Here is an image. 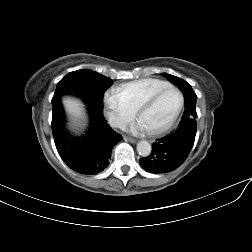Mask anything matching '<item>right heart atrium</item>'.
I'll return each instance as SVG.
<instances>
[{"mask_svg": "<svg viewBox=\"0 0 252 252\" xmlns=\"http://www.w3.org/2000/svg\"><path fill=\"white\" fill-rule=\"evenodd\" d=\"M104 101L108 108L109 122L114 127H123L135 115V109L119 90L106 92Z\"/></svg>", "mask_w": 252, "mask_h": 252, "instance_id": "d8ad5b80", "label": "right heart atrium"}]
</instances>
